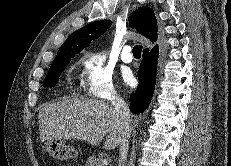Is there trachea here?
Returning <instances> with one entry per match:
<instances>
[{
    "instance_id": "trachea-1",
    "label": "trachea",
    "mask_w": 231,
    "mask_h": 166,
    "mask_svg": "<svg viewBox=\"0 0 231 166\" xmlns=\"http://www.w3.org/2000/svg\"><path fill=\"white\" fill-rule=\"evenodd\" d=\"M142 45H136L133 47L132 53L134 57L140 58L141 57V52H142Z\"/></svg>"
}]
</instances>
